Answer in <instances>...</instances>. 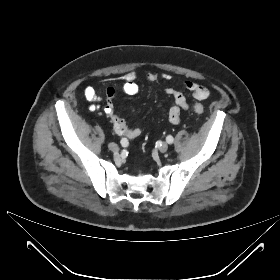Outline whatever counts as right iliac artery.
I'll return each instance as SVG.
<instances>
[{"label": "right iliac artery", "instance_id": "right-iliac-artery-1", "mask_svg": "<svg viewBox=\"0 0 280 280\" xmlns=\"http://www.w3.org/2000/svg\"><path fill=\"white\" fill-rule=\"evenodd\" d=\"M120 143H121L122 146L125 147V146L127 145L128 142H127V139L122 138V140L120 141Z\"/></svg>", "mask_w": 280, "mask_h": 280}]
</instances>
